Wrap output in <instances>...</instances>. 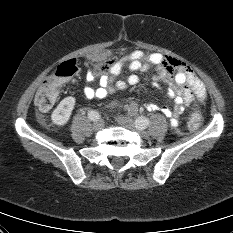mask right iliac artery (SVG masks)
Returning <instances> with one entry per match:
<instances>
[{"mask_svg": "<svg viewBox=\"0 0 233 233\" xmlns=\"http://www.w3.org/2000/svg\"><path fill=\"white\" fill-rule=\"evenodd\" d=\"M99 114L96 112V111H90L89 113H88V118L90 119V120H96V119H99Z\"/></svg>", "mask_w": 233, "mask_h": 233, "instance_id": "right-iliac-artery-1", "label": "right iliac artery"}]
</instances>
